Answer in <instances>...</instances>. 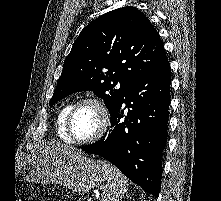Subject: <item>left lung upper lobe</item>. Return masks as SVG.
<instances>
[{
  "mask_svg": "<svg viewBox=\"0 0 221 201\" xmlns=\"http://www.w3.org/2000/svg\"><path fill=\"white\" fill-rule=\"evenodd\" d=\"M165 56L156 29L142 12L131 6L108 12L75 40L49 105L77 91H93L112 115L134 84Z\"/></svg>",
  "mask_w": 221,
  "mask_h": 201,
  "instance_id": "obj_1",
  "label": "left lung upper lobe"
}]
</instances>
